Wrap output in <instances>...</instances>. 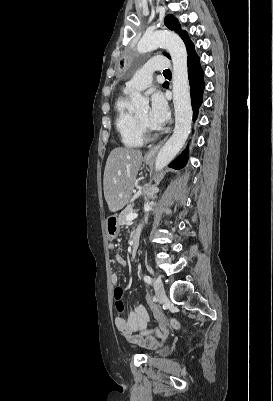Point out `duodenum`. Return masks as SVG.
<instances>
[{
    "label": "duodenum",
    "mask_w": 273,
    "mask_h": 401,
    "mask_svg": "<svg viewBox=\"0 0 273 401\" xmlns=\"http://www.w3.org/2000/svg\"><path fill=\"white\" fill-rule=\"evenodd\" d=\"M139 248V235L136 234L133 238L132 245H131V254L133 257L136 256Z\"/></svg>",
    "instance_id": "obj_1"
}]
</instances>
